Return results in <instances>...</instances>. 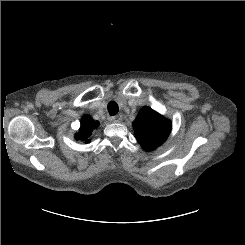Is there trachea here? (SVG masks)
<instances>
[{
    "label": "trachea",
    "instance_id": "3493384b",
    "mask_svg": "<svg viewBox=\"0 0 245 245\" xmlns=\"http://www.w3.org/2000/svg\"><path fill=\"white\" fill-rule=\"evenodd\" d=\"M118 105L114 101L108 103V112L110 115H115L118 112Z\"/></svg>",
    "mask_w": 245,
    "mask_h": 245
}]
</instances>
